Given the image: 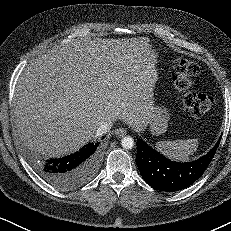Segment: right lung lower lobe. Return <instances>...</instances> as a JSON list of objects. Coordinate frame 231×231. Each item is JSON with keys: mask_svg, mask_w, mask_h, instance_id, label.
<instances>
[{"mask_svg": "<svg viewBox=\"0 0 231 231\" xmlns=\"http://www.w3.org/2000/svg\"><path fill=\"white\" fill-rule=\"evenodd\" d=\"M99 142L89 143L74 154L35 162L37 173L46 182L62 190H72L89 181L100 163Z\"/></svg>", "mask_w": 231, "mask_h": 231, "instance_id": "1", "label": "right lung lower lobe"}]
</instances>
